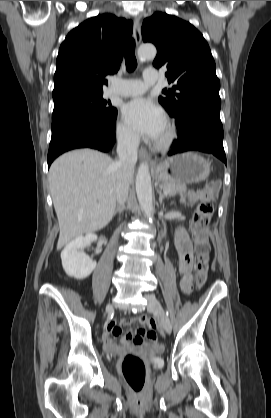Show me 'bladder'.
<instances>
[{"label":"bladder","mask_w":271,"mask_h":418,"mask_svg":"<svg viewBox=\"0 0 271 418\" xmlns=\"http://www.w3.org/2000/svg\"><path fill=\"white\" fill-rule=\"evenodd\" d=\"M152 362L155 367H160L162 365L161 359L156 356L153 357Z\"/></svg>","instance_id":"1"}]
</instances>
